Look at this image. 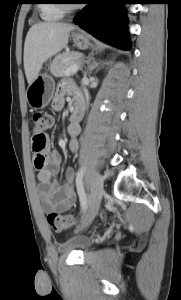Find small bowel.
<instances>
[{"label":"small bowel","instance_id":"1","mask_svg":"<svg viewBox=\"0 0 181 300\" xmlns=\"http://www.w3.org/2000/svg\"><path fill=\"white\" fill-rule=\"evenodd\" d=\"M69 90H71L69 83L63 82L59 85L51 104L53 110L60 111L64 107V95ZM73 94L76 100L80 99L78 93L74 92ZM68 133L70 135L68 143L69 149L75 152L78 149L77 137L80 133V121L75 124L70 123ZM43 156L44 162L38 167L35 162L36 156L34 155V166L38 170V191L42 200L43 210L45 212L66 211L70 209L75 202V172L72 168L66 169L64 181L61 183L57 179L61 165L60 155L56 151H49L43 152Z\"/></svg>","mask_w":181,"mask_h":300}]
</instances>
